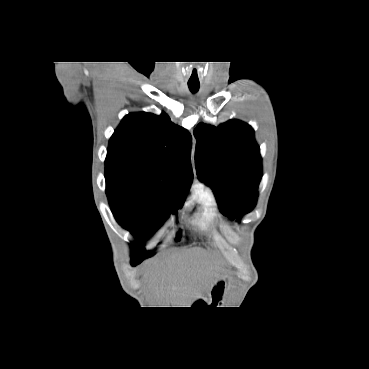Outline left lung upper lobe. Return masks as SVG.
I'll use <instances>...</instances> for the list:
<instances>
[{"label": "left lung upper lobe", "instance_id": "left-lung-upper-lobe-1", "mask_svg": "<svg viewBox=\"0 0 369 369\" xmlns=\"http://www.w3.org/2000/svg\"><path fill=\"white\" fill-rule=\"evenodd\" d=\"M194 136L199 180L212 188L220 211L239 220L256 205L262 177L254 130L242 121L230 120L218 127L200 123Z\"/></svg>", "mask_w": 369, "mask_h": 369}]
</instances>
